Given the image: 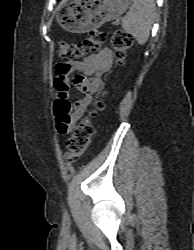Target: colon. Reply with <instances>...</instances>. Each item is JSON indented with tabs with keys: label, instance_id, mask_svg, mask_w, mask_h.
Segmentation results:
<instances>
[{
	"label": "colon",
	"instance_id": "1",
	"mask_svg": "<svg viewBox=\"0 0 194 250\" xmlns=\"http://www.w3.org/2000/svg\"><path fill=\"white\" fill-rule=\"evenodd\" d=\"M107 40L115 51L117 60L120 62L126 50L131 45V37L123 30L113 31L110 35L101 30H92L88 32L83 43L63 42L60 45V55L63 58L75 59L83 57L87 52L99 49ZM61 98H57L55 103V111L62 110ZM105 108L102 99L96 100L94 109L84 117L75 127L72 136L66 143L65 156L72 161L82 155L88 148L91 137L94 132L92 120L98 112Z\"/></svg>",
	"mask_w": 194,
	"mask_h": 250
}]
</instances>
